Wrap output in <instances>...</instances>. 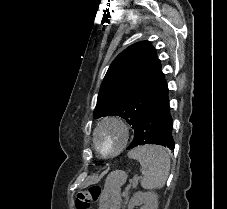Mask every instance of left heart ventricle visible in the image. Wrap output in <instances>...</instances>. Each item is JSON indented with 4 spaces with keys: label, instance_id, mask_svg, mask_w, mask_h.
<instances>
[{
    "label": "left heart ventricle",
    "instance_id": "obj_1",
    "mask_svg": "<svg viewBox=\"0 0 227 209\" xmlns=\"http://www.w3.org/2000/svg\"><path fill=\"white\" fill-rule=\"evenodd\" d=\"M123 138L122 130L114 123H106L100 127L96 134V144L102 153L115 150Z\"/></svg>",
    "mask_w": 227,
    "mask_h": 209
}]
</instances>
